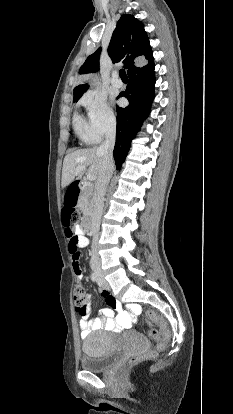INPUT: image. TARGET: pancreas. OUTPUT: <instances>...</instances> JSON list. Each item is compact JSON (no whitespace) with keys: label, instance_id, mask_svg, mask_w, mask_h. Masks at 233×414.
Listing matches in <instances>:
<instances>
[{"label":"pancreas","instance_id":"pancreas-1","mask_svg":"<svg viewBox=\"0 0 233 414\" xmlns=\"http://www.w3.org/2000/svg\"><path fill=\"white\" fill-rule=\"evenodd\" d=\"M94 201V192L87 188L80 197L79 208L84 216L90 214L91 207Z\"/></svg>","mask_w":233,"mask_h":414}]
</instances>
